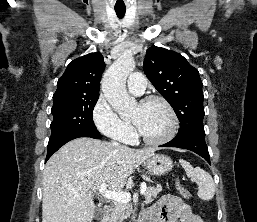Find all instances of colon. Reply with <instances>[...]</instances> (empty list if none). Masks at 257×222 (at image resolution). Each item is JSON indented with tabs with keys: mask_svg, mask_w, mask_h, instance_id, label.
Listing matches in <instances>:
<instances>
[{
	"mask_svg": "<svg viewBox=\"0 0 257 222\" xmlns=\"http://www.w3.org/2000/svg\"><path fill=\"white\" fill-rule=\"evenodd\" d=\"M178 191L179 193L185 197V198H188L189 197V192L188 190L186 189V187H184L183 185L181 184H178Z\"/></svg>",
	"mask_w": 257,
	"mask_h": 222,
	"instance_id": "1",
	"label": "colon"
}]
</instances>
